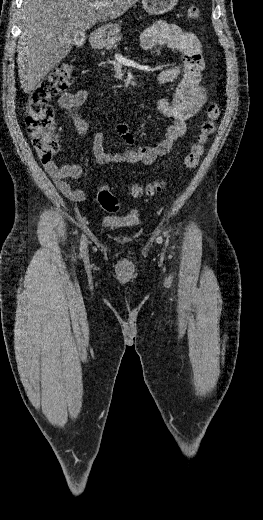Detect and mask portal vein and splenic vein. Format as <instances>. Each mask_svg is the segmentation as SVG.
Segmentation results:
<instances>
[{
  "mask_svg": "<svg viewBox=\"0 0 263 520\" xmlns=\"http://www.w3.org/2000/svg\"><path fill=\"white\" fill-rule=\"evenodd\" d=\"M103 5H105V4L102 3V2H97V3L94 4V7L95 8H99V7L103 6Z\"/></svg>",
  "mask_w": 263,
  "mask_h": 520,
  "instance_id": "obj_1",
  "label": "portal vein and splenic vein"
}]
</instances>
